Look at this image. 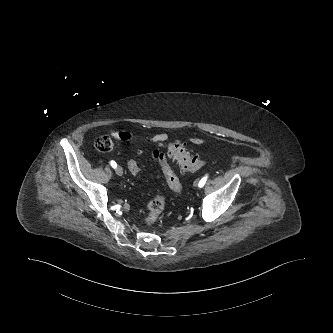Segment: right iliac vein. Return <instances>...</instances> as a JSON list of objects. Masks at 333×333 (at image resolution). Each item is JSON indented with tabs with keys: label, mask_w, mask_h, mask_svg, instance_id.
Instances as JSON below:
<instances>
[{
	"label": "right iliac vein",
	"mask_w": 333,
	"mask_h": 333,
	"mask_svg": "<svg viewBox=\"0 0 333 333\" xmlns=\"http://www.w3.org/2000/svg\"><path fill=\"white\" fill-rule=\"evenodd\" d=\"M115 171H116V174L118 176H122L123 175V169H122L121 166H117Z\"/></svg>",
	"instance_id": "1"
}]
</instances>
